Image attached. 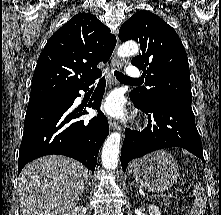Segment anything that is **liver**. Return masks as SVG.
Here are the masks:
<instances>
[{
	"instance_id": "obj_1",
	"label": "liver",
	"mask_w": 221,
	"mask_h": 215,
	"mask_svg": "<svg viewBox=\"0 0 221 215\" xmlns=\"http://www.w3.org/2000/svg\"><path fill=\"white\" fill-rule=\"evenodd\" d=\"M88 170L60 155L44 156L27 164L19 183L21 215H64L73 209L86 186Z\"/></svg>"
}]
</instances>
